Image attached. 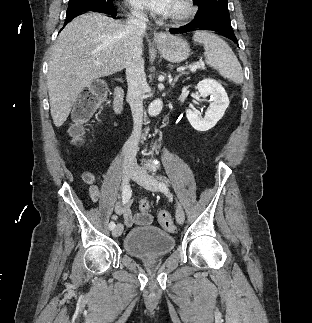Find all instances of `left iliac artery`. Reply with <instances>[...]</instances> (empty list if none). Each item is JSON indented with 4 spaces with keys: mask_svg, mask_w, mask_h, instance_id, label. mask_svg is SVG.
I'll use <instances>...</instances> for the list:
<instances>
[{
    "mask_svg": "<svg viewBox=\"0 0 312 323\" xmlns=\"http://www.w3.org/2000/svg\"><path fill=\"white\" fill-rule=\"evenodd\" d=\"M166 187L164 183L160 184V189L163 190Z\"/></svg>",
    "mask_w": 312,
    "mask_h": 323,
    "instance_id": "44dca946",
    "label": "left iliac artery"
}]
</instances>
